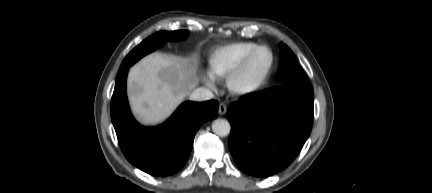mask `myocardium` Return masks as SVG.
I'll return each mask as SVG.
<instances>
[{"label":"myocardium","mask_w":432,"mask_h":193,"mask_svg":"<svg viewBox=\"0 0 432 193\" xmlns=\"http://www.w3.org/2000/svg\"><path fill=\"white\" fill-rule=\"evenodd\" d=\"M261 50H268L270 53V64L265 74L254 83H243L241 78L251 60ZM275 66V55L273 50L266 45H259L253 49L228 75L227 85L229 90L236 96L247 97L261 91L268 83Z\"/></svg>","instance_id":"1"}]
</instances>
